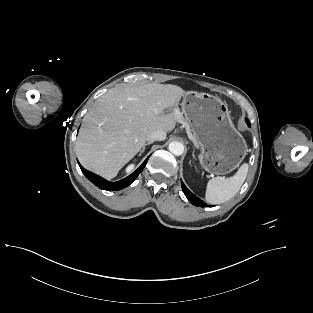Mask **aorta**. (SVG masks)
Wrapping results in <instances>:
<instances>
[{
    "label": "aorta",
    "instance_id": "obj_1",
    "mask_svg": "<svg viewBox=\"0 0 313 313\" xmlns=\"http://www.w3.org/2000/svg\"><path fill=\"white\" fill-rule=\"evenodd\" d=\"M168 148H169V151L176 156H180L184 152V146L180 142H176V141L171 142Z\"/></svg>",
    "mask_w": 313,
    "mask_h": 313
}]
</instances>
